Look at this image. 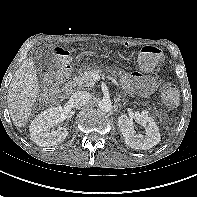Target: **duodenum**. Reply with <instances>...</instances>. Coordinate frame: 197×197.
<instances>
[{
  "instance_id": "duodenum-1",
  "label": "duodenum",
  "mask_w": 197,
  "mask_h": 197,
  "mask_svg": "<svg viewBox=\"0 0 197 197\" xmlns=\"http://www.w3.org/2000/svg\"><path fill=\"white\" fill-rule=\"evenodd\" d=\"M72 90H73V84L70 83V84H68L67 87H66V92H67V93H70Z\"/></svg>"
}]
</instances>
